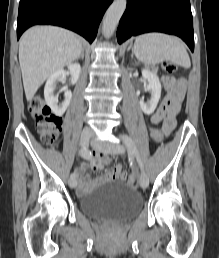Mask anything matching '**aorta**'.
Instances as JSON below:
<instances>
[{
  "instance_id": "762f6f07",
  "label": "aorta",
  "mask_w": 219,
  "mask_h": 258,
  "mask_svg": "<svg viewBox=\"0 0 219 258\" xmlns=\"http://www.w3.org/2000/svg\"><path fill=\"white\" fill-rule=\"evenodd\" d=\"M126 6V0H114L106 11L102 26V34L105 38H110L114 34L119 20L126 10Z\"/></svg>"
}]
</instances>
